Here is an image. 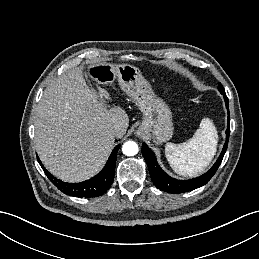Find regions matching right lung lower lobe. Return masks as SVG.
I'll list each match as a JSON object with an SVG mask.
<instances>
[{
	"mask_svg": "<svg viewBox=\"0 0 259 259\" xmlns=\"http://www.w3.org/2000/svg\"><path fill=\"white\" fill-rule=\"evenodd\" d=\"M120 145H117L110 155L103 170L93 178L80 183H65L55 178L44 167L38 159L43 171L50 181L64 194L74 197H97L105 193L112 185L114 179L116 156Z\"/></svg>",
	"mask_w": 259,
	"mask_h": 259,
	"instance_id": "1",
	"label": "right lung lower lobe"
}]
</instances>
